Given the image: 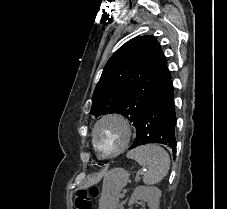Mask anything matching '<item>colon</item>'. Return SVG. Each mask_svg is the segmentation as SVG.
<instances>
[{
  "mask_svg": "<svg viewBox=\"0 0 227 209\" xmlns=\"http://www.w3.org/2000/svg\"><path fill=\"white\" fill-rule=\"evenodd\" d=\"M97 196V189H80L74 198V209H92V201Z\"/></svg>",
  "mask_w": 227,
  "mask_h": 209,
  "instance_id": "1",
  "label": "colon"
}]
</instances>
